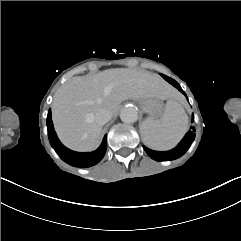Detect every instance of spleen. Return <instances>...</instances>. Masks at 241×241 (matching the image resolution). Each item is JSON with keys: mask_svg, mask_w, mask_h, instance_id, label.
Instances as JSON below:
<instances>
[{"mask_svg": "<svg viewBox=\"0 0 241 241\" xmlns=\"http://www.w3.org/2000/svg\"><path fill=\"white\" fill-rule=\"evenodd\" d=\"M188 129V117L182 106L169 100L160 119L148 118L140 126L143 142L156 150L173 148Z\"/></svg>", "mask_w": 241, "mask_h": 241, "instance_id": "obj_1", "label": "spleen"}]
</instances>
